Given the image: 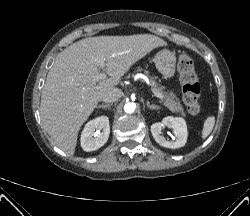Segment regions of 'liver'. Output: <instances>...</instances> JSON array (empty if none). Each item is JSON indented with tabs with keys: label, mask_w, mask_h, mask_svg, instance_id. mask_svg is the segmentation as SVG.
Instances as JSON below:
<instances>
[{
	"label": "liver",
	"mask_w": 250,
	"mask_h": 216,
	"mask_svg": "<svg viewBox=\"0 0 250 216\" xmlns=\"http://www.w3.org/2000/svg\"><path fill=\"white\" fill-rule=\"evenodd\" d=\"M166 42L151 34L97 36L77 41L58 54L41 94L40 115L54 144L75 152L78 132L97 107L102 93L119 84L130 67ZM99 58L110 76L97 80Z\"/></svg>",
	"instance_id": "6515ba94"
}]
</instances>
